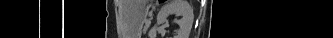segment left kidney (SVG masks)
Wrapping results in <instances>:
<instances>
[{
  "instance_id": "left-kidney-1",
  "label": "left kidney",
  "mask_w": 333,
  "mask_h": 38,
  "mask_svg": "<svg viewBox=\"0 0 333 38\" xmlns=\"http://www.w3.org/2000/svg\"><path fill=\"white\" fill-rule=\"evenodd\" d=\"M173 14L182 17L173 38H188L193 24V9L187 0H169L163 5L157 14L156 24L150 31L151 35H156L159 26L167 23L168 17Z\"/></svg>"
}]
</instances>
